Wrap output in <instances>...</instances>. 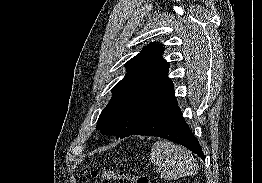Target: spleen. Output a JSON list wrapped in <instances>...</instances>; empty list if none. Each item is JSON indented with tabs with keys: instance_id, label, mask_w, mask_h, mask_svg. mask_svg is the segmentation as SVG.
<instances>
[{
	"instance_id": "obj_1",
	"label": "spleen",
	"mask_w": 262,
	"mask_h": 183,
	"mask_svg": "<svg viewBox=\"0 0 262 183\" xmlns=\"http://www.w3.org/2000/svg\"><path fill=\"white\" fill-rule=\"evenodd\" d=\"M150 159L162 169L161 176L168 181L191 176L197 170L196 160L191 152L166 140L153 144Z\"/></svg>"
}]
</instances>
